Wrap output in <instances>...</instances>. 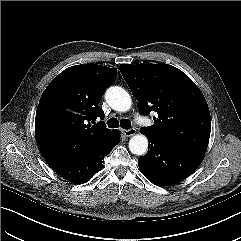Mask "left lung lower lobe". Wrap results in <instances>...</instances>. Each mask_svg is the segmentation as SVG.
I'll use <instances>...</instances> for the list:
<instances>
[{"label": "left lung lower lobe", "mask_w": 241, "mask_h": 241, "mask_svg": "<svg viewBox=\"0 0 241 241\" xmlns=\"http://www.w3.org/2000/svg\"><path fill=\"white\" fill-rule=\"evenodd\" d=\"M150 149L139 157L138 165L145 177L158 186L178 183L200 165L204 153L165 143L146 135Z\"/></svg>", "instance_id": "0a47b994"}]
</instances>
